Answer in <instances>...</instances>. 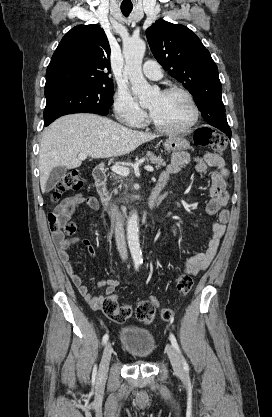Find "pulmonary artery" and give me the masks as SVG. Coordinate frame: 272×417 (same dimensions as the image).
Wrapping results in <instances>:
<instances>
[{
	"mask_svg": "<svg viewBox=\"0 0 272 417\" xmlns=\"http://www.w3.org/2000/svg\"><path fill=\"white\" fill-rule=\"evenodd\" d=\"M143 74L150 80H160L163 76L160 65L153 60H148L143 66Z\"/></svg>",
	"mask_w": 272,
	"mask_h": 417,
	"instance_id": "pulmonary-artery-1",
	"label": "pulmonary artery"
}]
</instances>
